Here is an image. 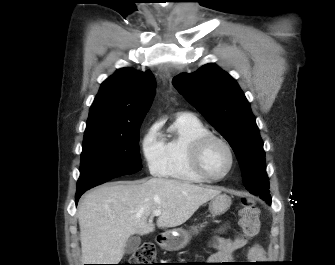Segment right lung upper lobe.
<instances>
[{
    "label": "right lung upper lobe",
    "instance_id": "obj_1",
    "mask_svg": "<svg viewBox=\"0 0 335 265\" xmlns=\"http://www.w3.org/2000/svg\"><path fill=\"white\" fill-rule=\"evenodd\" d=\"M150 72L122 68L107 78L90 108L85 134L121 132L142 122L155 91Z\"/></svg>",
    "mask_w": 335,
    "mask_h": 265
}]
</instances>
